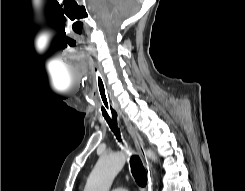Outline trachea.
Wrapping results in <instances>:
<instances>
[{
  "mask_svg": "<svg viewBox=\"0 0 245 191\" xmlns=\"http://www.w3.org/2000/svg\"><path fill=\"white\" fill-rule=\"evenodd\" d=\"M97 91L101 101L102 115L108 123L111 131L114 133L116 139L121 142V132L118 127L117 112L113 108L108 96L107 88L101 73L97 74ZM131 173L135 178V181L140 186H145L147 183L146 170L137 155H133L130 158Z\"/></svg>",
  "mask_w": 245,
  "mask_h": 191,
  "instance_id": "1",
  "label": "trachea"
}]
</instances>
